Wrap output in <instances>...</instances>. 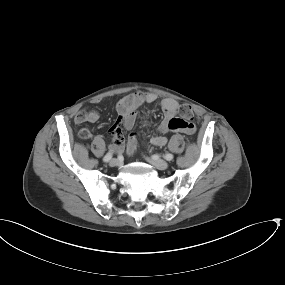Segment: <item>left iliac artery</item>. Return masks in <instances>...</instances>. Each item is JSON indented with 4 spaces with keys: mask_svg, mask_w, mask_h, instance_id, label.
I'll return each mask as SVG.
<instances>
[{
    "mask_svg": "<svg viewBox=\"0 0 285 285\" xmlns=\"http://www.w3.org/2000/svg\"><path fill=\"white\" fill-rule=\"evenodd\" d=\"M164 158H165L167 161H171V160H173V155L170 154V153H166V154L164 155Z\"/></svg>",
    "mask_w": 285,
    "mask_h": 285,
    "instance_id": "left-iliac-artery-1",
    "label": "left iliac artery"
}]
</instances>
